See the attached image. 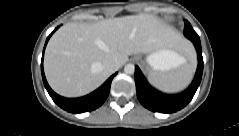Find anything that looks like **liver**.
<instances>
[{
	"mask_svg": "<svg viewBox=\"0 0 239 136\" xmlns=\"http://www.w3.org/2000/svg\"><path fill=\"white\" fill-rule=\"evenodd\" d=\"M177 32L150 14L107 19L95 24L70 22L51 37L44 70L51 88L65 97H80L98 88L112 72L104 67L116 60L159 48L184 49Z\"/></svg>",
	"mask_w": 239,
	"mask_h": 136,
	"instance_id": "1",
	"label": "liver"
}]
</instances>
